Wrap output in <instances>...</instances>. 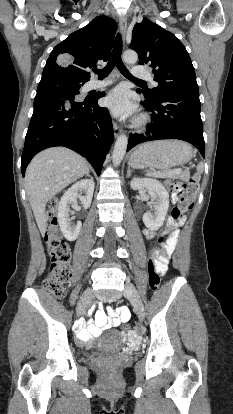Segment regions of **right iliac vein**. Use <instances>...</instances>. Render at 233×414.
<instances>
[{"label": "right iliac vein", "mask_w": 233, "mask_h": 414, "mask_svg": "<svg viewBox=\"0 0 233 414\" xmlns=\"http://www.w3.org/2000/svg\"><path fill=\"white\" fill-rule=\"evenodd\" d=\"M94 300V292L92 289H87L80 298L76 308L77 316L83 314Z\"/></svg>", "instance_id": "1"}]
</instances>
